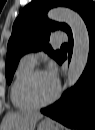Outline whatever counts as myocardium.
I'll use <instances>...</instances> for the list:
<instances>
[{"label": "myocardium", "mask_w": 95, "mask_h": 130, "mask_svg": "<svg viewBox=\"0 0 95 130\" xmlns=\"http://www.w3.org/2000/svg\"><path fill=\"white\" fill-rule=\"evenodd\" d=\"M40 73H45V71L42 69H33L28 75L25 81V85H24V94H25L26 99L28 100L29 103H31L36 108L44 107L55 102L58 99L60 95V91H61L60 84L58 81H56V92L53 95V97H51L50 99L46 101L37 100L33 94V82H34L35 77Z\"/></svg>", "instance_id": "obj_1"}]
</instances>
